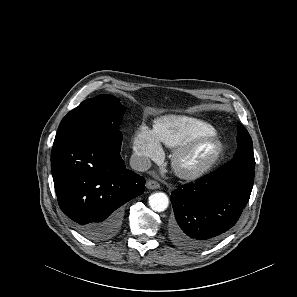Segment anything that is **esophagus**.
<instances>
[{
  "instance_id": "34e87169",
  "label": "esophagus",
  "mask_w": 297,
  "mask_h": 297,
  "mask_svg": "<svg viewBox=\"0 0 297 297\" xmlns=\"http://www.w3.org/2000/svg\"><path fill=\"white\" fill-rule=\"evenodd\" d=\"M146 187L148 189H158L160 187V184L155 181V180H148L147 183H146Z\"/></svg>"
}]
</instances>
